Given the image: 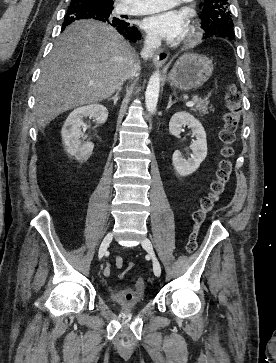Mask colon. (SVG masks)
Segmentation results:
<instances>
[{
    "label": "colon",
    "mask_w": 276,
    "mask_h": 363,
    "mask_svg": "<svg viewBox=\"0 0 276 363\" xmlns=\"http://www.w3.org/2000/svg\"><path fill=\"white\" fill-rule=\"evenodd\" d=\"M240 101V95L236 87L232 84L228 85L226 90V104L228 112L226 113L224 120L225 124L220 131V140L222 142L221 155L219 168L216 173V178L212 182L210 192L204 196L201 200L200 207L193 213V229L189 235L188 242L186 244V251L188 253H194L197 249V239L199 230L204 222L207 214L213 209L215 204L219 201L220 197L225 191L226 185L229 182L232 170L231 158L234 154L233 143L236 138L237 127V107ZM133 264L130 263L128 268H132ZM139 282L137 283V285Z\"/></svg>",
    "instance_id": "5ec220e1"
}]
</instances>
